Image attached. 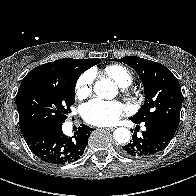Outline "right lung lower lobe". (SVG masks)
Segmentation results:
<instances>
[{"mask_svg": "<svg viewBox=\"0 0 196 196\" xmlns=\"http://www.w3.org/2000/svg\"><path fill=\"white\" fill-rule=\"evenodd\" d=\"M92 130L93 128L81 124L75 135L68 137L62 132V123H57L36 129L24 135V139L41 160L61 165L76 161L82 156Z\"/></svg>", "mask_w": 196, "mask_h": 196, "instance_id": "98d812e1", "label": "right lung lower lobe"}]
</instances>
